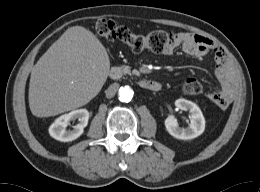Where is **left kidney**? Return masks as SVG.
Returning a JSON list of instances; mask_svg holds the SVG:
<instances>
[{
    "mask_svg": "<svg viewBox=\"0 0 260 192\" xmlns=\"http://www.w3.org/2000/svg\"><path fill=\"white\" fill-rule=\"evenodd\" d=\"M175 106L190 112V124L186 128H181L176 118L173 115H169L165 120V127L168 133L181 140H189L201 135L205 130V118L200 108L195 103L183 98L177 99Z\"/></svg>",
    "mask_w": 260,
    "mask_h": 192,
    "instance_id": "left-kidney-1",
    "label": "left kidney"
}]
</instances>
